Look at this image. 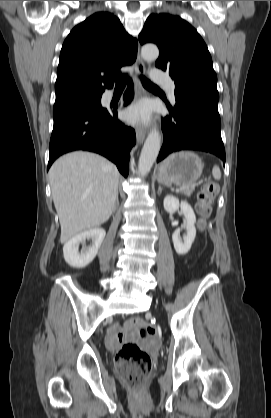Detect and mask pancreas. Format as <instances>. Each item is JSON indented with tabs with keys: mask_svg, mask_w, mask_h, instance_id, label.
I'll use <instances>...</instances> for the list:
<instances>
[{
	"mask_svg": "<svg viewBox=\"0 0 271 418\" xmlns=\"http://www.w3.org/2000/svg\"><path fill=\"white\" fill-rule=\"evenodd\" d=\"M194 190H195L194 186H191V187L183 186L179 191H180V193L184 194L185 196H191L192 193L194 192Z\"/></svg>",
	"mask_w": 271,
	"mask_h": 418,
	"instance_id": "1",
	"label": "pancreas"
}]
</instances>
